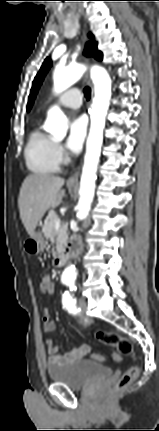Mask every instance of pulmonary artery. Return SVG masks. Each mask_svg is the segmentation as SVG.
<instances>
[{
  "label": "pulmonary artery",
  "instance_id": "obj_1",
  "mask_svg": "<svg viewBox=\"0 0 159 431\" xmlns=\"http://www.w3.org/2000/svg\"><path fill=\"white\" fill-rule=\"evenodd\" d=\"M56 103L63 107L77 109L82 104V94L78 88H71L61 94Z\"/></svg>",
  "mask_w": 159,
  "mask_h": 431
}]
</instances>
